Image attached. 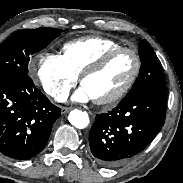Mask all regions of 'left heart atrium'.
I'll return each mask as SVG.
<instances>
[{"label":"left heart atrium","instance_id":"39dd6f15","mask_svg":"<svg viewBox=\"0 0 183 183\" xmlns=\"http://www.w3.org/2000/svg\"><path fill=\"white\" fill-rule=\"evenodd\" d=\"M72 99L77 102H86L92 98L87 89L84 86H81L74 94Z\"/></svg>","mask_w":183,"mask_h":183}]
</instances>
